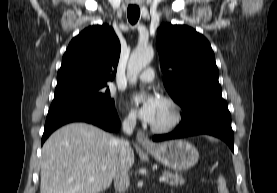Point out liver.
Wrapping results in <instances>:
<instances>
[{
  "label": "liver",
  "instance_id": "1",
  "mask_svg": "<svg viewBox=\"0 0 277 193\" xmlns=\"http://www.w3.org/2000/svg\"><path fill=\"white\" fill-rule=\"evenodd\" d=\"M134 163L128 152L127 166ZM116 138L86 123L55 131L42 148L40 193H99L119 171Z\"/></svg>",
  "mask_w": 277,
  "mask_h": 193
}]
</instances>
